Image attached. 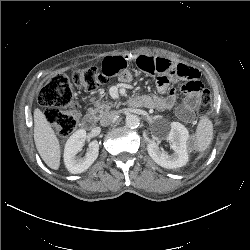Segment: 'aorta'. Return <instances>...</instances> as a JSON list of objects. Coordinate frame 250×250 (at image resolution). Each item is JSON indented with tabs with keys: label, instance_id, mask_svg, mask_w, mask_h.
Returning a JSON list of instances; mask_svg holds the SVG:
<instances>
[{
	"label": "aorta",
	"instance_id": "obj_1",
	"mask_svg": "<svg viewBox=\"0 0 250 250\" xmlns=\"http://www.w3.org/2000/svg\"><path fill=\"white\" fill-rule=\"evenodd\" d=\"M125 124L129 128H137L140 124V118L137 115L130 114L126 117Z\"/></svg>",
	"mask_w": 250,
	"mask_h": 250
}]
</instances>
